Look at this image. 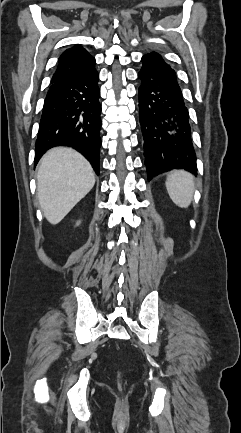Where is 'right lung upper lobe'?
Wrapping results in <instances>:
<instances>
[{"mask_svg":"<svg viewBox=\"0 0 241 433\" xmlns=\"http://www.w3.org/2000/svg\"><path fill=\"white\" fill-rule=\"evenodd\" d=\"M58 62L56 72L53 74L51 82L60 80L91 64H94L95 58L92 57L83 47L76 45L64 51L59 57Z\"/></svg>","mask_w":241,"mask_h":433,"instance_id":"1","label":"right lung upper lobe"}]
</instances>
